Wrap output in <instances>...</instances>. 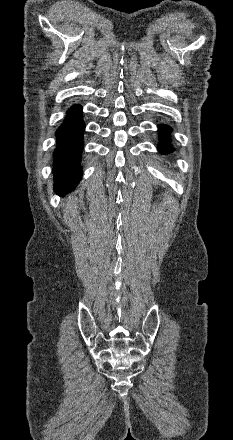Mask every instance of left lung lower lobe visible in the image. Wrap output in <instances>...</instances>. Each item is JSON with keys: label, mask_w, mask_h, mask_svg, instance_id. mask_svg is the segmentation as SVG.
<instances>
[{"label": "left lung lower lobe", "mask_w": 233, "mask_h": 440, "mask_svg": "<svg viewBox=\"0 0 233 440\" xmlns=\"http://www.w3.org/2000/svg\"><path fill=\"white\" fill-rule=\"evenodd\" d=\"M159 131L162 140V144L159 146L160 152L164 154L171 153L173 151V147L170 145L171 128L167 125H161Z\"/></svg>", "instance_id": "left-lung-lower-lobe-1"}]
</instances>
